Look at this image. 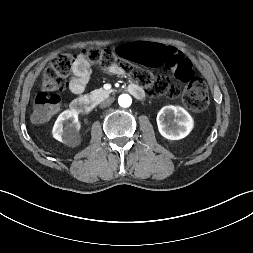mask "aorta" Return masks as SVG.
Here are the masks:
<instances>
[{"mask_svg": "<svg viewBox=\"0 0 253 253\" xmlns=\"http://www.w3.org/2000/svg\"><path fill=\"white\" fill-rule=\"evenodd\" d=\"M118 103L121 107H124V108L129 107L132 103L131 96L128 94L120 95L118 98Z\"/></svg>", "mask_w": 253, "mask_h": 253, "instance_id": "762f6f07", "label": "aorta"}]
</instances>
